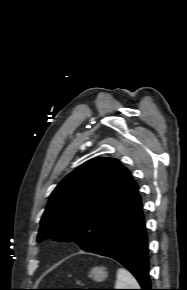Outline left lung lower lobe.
<instances>
[{
	"mask_svg": "<svg viewBox=\"0 0 187 290\" xmlns=\"http://www.w3.org/2000/svg\"><path fill=\"white\" fill-rule=\"evenodd\" d=\"M90 252L115 259L135 276L141 290H153L149 277L148 238L139 194L102 242Z\"/></svg>",
	"mask_w": 187,
	"mask_h": 290,
	"instance_id": "1",
	"label": "left lung lower lobe"
}]
</instances>
